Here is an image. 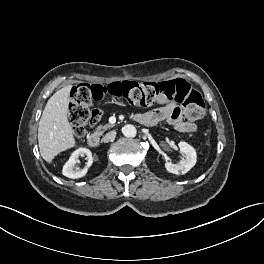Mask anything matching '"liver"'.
I'll list each match as a JSON object with an SVG mask.
<instances>
[{
	"instance_id": "6515ba94",
	"label": "liver",
	"mask_w": 264,
	"mask_h": 264,
	"mask_svg": "<svg viewBox=\"0 0 264 264\" xmlns=\"http://www.w3.org/2000/svg\"><path fill=\"white\" fill-rule=\"evenodd\" d=\"M71 89L72 85H68L50 97L39 122L38 146L42 158L48 163L76 143L67 118Z\"/></svg>"
}]
</instances>
